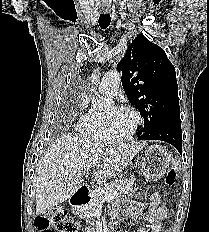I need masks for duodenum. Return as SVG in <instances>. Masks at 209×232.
Segmentation results:
<instances>
[{
  "instance_id": "duodenum-1",
  "label": "duodenum",
  "mask_w": 209,
  "mask_h": 232,
  "mask_svg": "<svg viewBox=\"0 0 209 232\" xmlns=\"http://www.w3.org/2000/svg\"><path fill=\"white\" fill-rule=\"evenodd\" d=\"M91 198V191L89 187L85 185L79 186L73 196L71 197V204L75 208H80L90 201Z\"/></svg>"
}]
</instances>
